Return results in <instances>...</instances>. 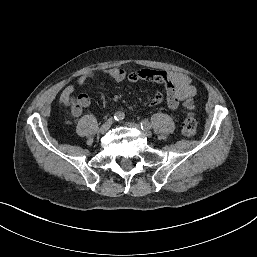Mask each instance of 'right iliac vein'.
Segmentation results:
<instances>
[{
	"instance_id": "63e3f726",
	"label": "right iliac vein",
	"mask_w": 257,
	"mask_h": 257,
	"mask_svg": "<svg viewBox=\"0 0 257 257\" xmlns=\"http://www.w3.org/2000/svg\"><path fill=\"white\" fill-rule=\"evenodd\" d=\"M112 123H113V120H112V119H109L108 121H106V122L100 127V132H101V133L107 132V131L110 129Z\"/></svg>"
}]
</instances>
